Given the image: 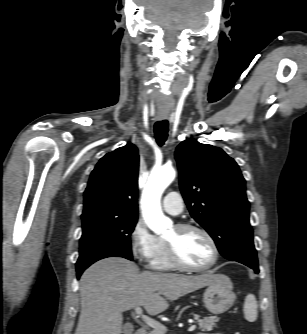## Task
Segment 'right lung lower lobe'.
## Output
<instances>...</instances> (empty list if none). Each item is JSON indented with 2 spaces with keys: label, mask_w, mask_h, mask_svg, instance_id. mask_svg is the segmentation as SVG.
I'll list each match as a JSON object with an SVG mask.
<instances>
[{
  "label": "right lung lower lobe",
  "mask_w": 307,
  "mask_h": 334,
  "mask_svg": "<svg viewBox=\"0 0 307 334\" xmlns=\"http://www.w3.org/2000/svg\"><path fill=\"white\" fill-rule=\"evenodd\" d=\"M83 271H77V278H79L81 276Z\"/></svg>",
  "instance_id": "obj_1"
}]
</instances>
